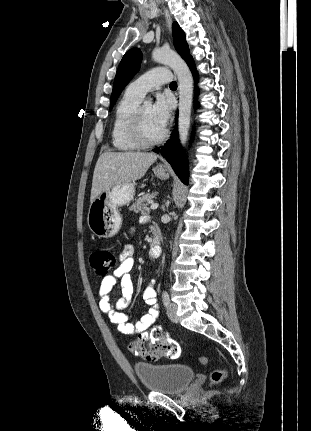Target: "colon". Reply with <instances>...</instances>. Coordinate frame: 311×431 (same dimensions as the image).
<instances>
[{"mask_svg": "<svg viewBox=\"0 0 311 431\" xmlns=\"http://www.w3.org/2000/svg\"><path fill=\"white\" fill-rule=\"evenodd\" d=\"M90 265L95 274L101 278H106L115 265L114 254L107 249H95L90 255ZM129 351L137 356L146 359L156 360L160 357L177 359L181 354L179 344L172 339L155 340L150 338H139L132 341L128 346ZM206 357H200L201 364L207 363ZM225 377V370H214L210 379L212 383H220Z\"/></svg>", "mask_w": 311, "mask_h": 431, "instance_id": "obj_1", "label": "colon"}]
</instances>
